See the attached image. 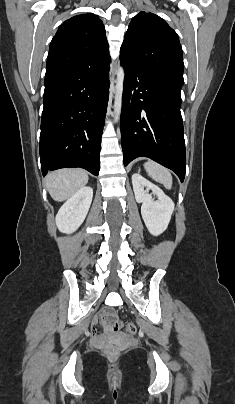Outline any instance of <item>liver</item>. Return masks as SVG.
I'll return each instance as SVG.
<instances>
[{
	"label": "liver",
	"instance_id": "1",
	"mask_svg": "<svg viewBox=\"0 0 235 404\" xmlns=\"http://www.w3.org/2000/svg\"><path fill=\"white\" fill-rule=\"evenodd\" d=\"M88 182V174L83 169H60L46 177V188L51 197L62 202L74 195Z\"/></svg>",
	"mask_w": 235,
	"mask_h": 404
}]
</instances>
